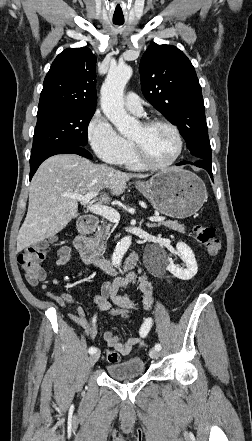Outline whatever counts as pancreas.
Returning <instances> with one entry per match:
<instances>
[{
  "instance_id": "pancreas-1",
  "label": "pancreas",
  "mask_w": 252,
  "mask_h": 441,
  "mask_svg": "<svg viewBox=\"0 0 252 441\" xmlns=\"http://www.w3.org/2000/svg\"><path fill=\"white\" fill-rule=\"evenodd\" d=\"M163 225L166 226L172 230L184 233L185 232V227L182 224H179L177 221H162L158 223V226ZM112 225L111 224H107V225H103L102 229H99L95 235H94V243L95 246L100 250L103 251L104 250V244H105V240L108 238V236L110 235V230H111ZM113 230V228H112ZM111 230V231H112Z\"/></svg>"
}]
</instances>
